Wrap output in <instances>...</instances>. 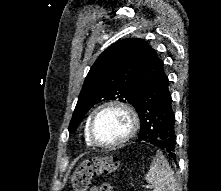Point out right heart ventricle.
Segmentation results:
<instances>
[{"mask_svg":"<svg viewBox=\"0 0 221 191\" xmlns=\"http://www.w3.org/2000/svg\"><path fill=\"white\" fill-rule=\"evenodd\" d=\"M88 122L87 121L86 125H85V129H84V138H85V142L88 146H93L94 144L91 142L89 135H88Z\"/></svg>","mask_w":221,"mask_h":191,"instance_id":"e07e8e85","label":"right heart ventricle"}]
</instances>
